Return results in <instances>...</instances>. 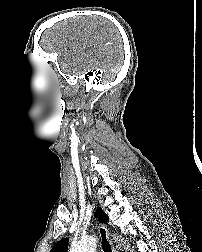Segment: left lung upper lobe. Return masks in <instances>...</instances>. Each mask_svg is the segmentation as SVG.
Here are the masks:
<instances>
[{"label": "left lung upper lobe", "mask_w": 202, "mask_h": 252, "mask_svg": "<svg viewBox=\"0 0 202 252\" xmlns=\"http://www.w3.org/2000/svg\"><path fill=\"white\" fill-rule=\"evenodd\" d=\"M96 215L98 217L99 222L107 223L109 220L108 216L101 208L97 209ZM67 246L68 239H62L54 245L50 252H67Z\"/></svg>", "instance_id": "1"}]
</instances>
